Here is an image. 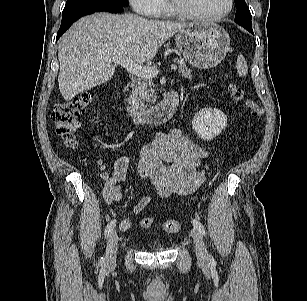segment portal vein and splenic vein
<instances>
[{
	"label": "portal vein and splenic vein",
	"instance_id": "1",
	"mask_svg": "<svg viewBox=\"0 0 307 301\" xmlns=\"http://www.w3.org/2000/svg\"><path fill=\"white\" fill-rule=\"evenodd\" d=\"M105 60L111 63H117L121 65L129 73L135 76H138V77L152 78L159 74V70L156 67H146V66L140 65L136 63L135 61H133L132 59L128 58L127 56L105 58ZM171 69L177 70L178 67L172 64Z\"/></svg>",
	"mask_w": 307,
	"mask_h": 301
}]
</instances>
